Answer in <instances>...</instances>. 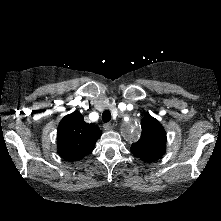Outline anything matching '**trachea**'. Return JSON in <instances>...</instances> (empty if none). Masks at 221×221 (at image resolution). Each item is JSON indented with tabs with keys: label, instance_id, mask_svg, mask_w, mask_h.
I'll return each mask as SVG.
<instances>
[{
	"label": "trachea",
	"instance_id": "3493384b",
	"mask_svg": "<svg viewBox=\"0 0 221 221\" xmlns=\"http://www.w3.org/2000/svg\"><path fill=\"white\" fill-rule=\"evenodd\" d=\"M102 120L104 122H109L111 120V113L109 110H105L103 113H102Z\"/></svg>",
	"mask_w": 221,
	"mask_h": 221
}]
</instances>
